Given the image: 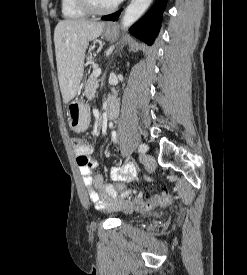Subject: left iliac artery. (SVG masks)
I'll return each mask as SVG.
<instances>
[{"label":"left iliac artery","mask_w":247,"mask_h":275,"mask_svg":"<svg viewBox=\"0 0 247 275\" xmlns=\"http://www.w3.org/2000/svg\"><path fill=\"white\" fill-rule=\"evenodd\" d=\"M147 149H148V147H147L146 144H141V145L139 146V152H141V153H145V152L147 151ZM126 194H127V192H126ZM122 196H123V195H122Z\"/></svg>","instance_id":"1"}]
</instances>
